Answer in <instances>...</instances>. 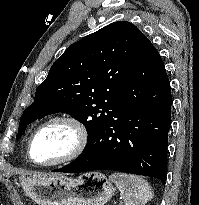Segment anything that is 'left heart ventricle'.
Segmentation results:
<instances>
[{
	"label": "left heart ventricle",
	"instance_id": "obj_1",
	"mask_svg": "<svg viewBox=\"0 0 199 205\" xmlns=\"http://www.w3.org/2000/svg\"><path fill=\"white\" fill-rule=\"evenodd\" d=\"M74 142L69 126L53 124L42 130L35 138L32 155L38 162H49L65 155Z\"/></svg>",
	"mask_w": 199,
	"mask_h": 205
}]
</instances>
